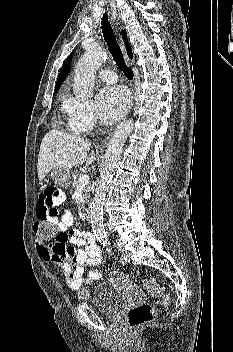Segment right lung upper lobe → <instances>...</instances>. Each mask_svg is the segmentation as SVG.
Segmentation results:
<instances>
[{"label": "right lung upper lobe", "instance_id": "right-lung-upper-lobe-1", "mask_svg": "<svg viewBox=\"0 0 233 352\" xmlns=\"http://www.w3.org/2000/svg\"><path fill=\"white\" fill-rule=\"evenodd\" d=\"M122 36H123V39L125 41V46H126V50H127L128 56L130 58H132L133 57L132 56V51H131L130 45L127 42V36H126V33L124 31H122ZM72 58H73V52L67 57L66 61L64 62L63 66L61 68L60 74H59L57 82H56L55 90H59L60 85L64 82V80L68 76V74L70 72V64H71Z\"/></svg>", "mask_w": 233, "mask_h": 352}]
</instances>
